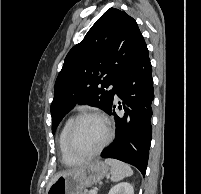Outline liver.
I'll list each match as a JSON object with an SVG mask.
<instances>
[{"instance_id":"obj_1","label":"liver","mask_w":201,"mask_h":194,"mask_svg":"<svg viewBox=\"0 0 201 194\" xmlns=\"http://www.w3.org/2000/svg\"><path fill=\"white\" fill-rule=\"evenodd\" d=\"M74 170H75V169H74ZM74 170L63 171V172H60V173H58L57 175H55V177H54V178L51 180V182L49 183L48 188L54 183V181H55L59 176L64 175V174L69 173V172H72V171H74Z\"/></svg>"}]
</instances>
